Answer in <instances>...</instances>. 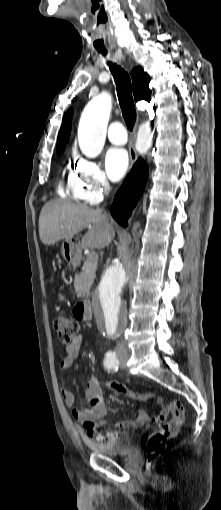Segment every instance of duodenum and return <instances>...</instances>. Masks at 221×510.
Listing matches in <instances>:
<instances>
[{
	"label": "duodenum",
	"instance_id": "410a0bca",
	"mask_svg": "<svg viewBox=\"0 0 221 510\" xmlns=\"http://www.w3.org/2000/svg\"><path fill=\"white\" fill-rule=\"evenodd\" d=\"M76 312L84 320H90L92 317L91 305L88 301L79 302L76 305Z\"/></svg>",
	"mask_w": 221,
	"mask_h": 510
}]
</instances>
